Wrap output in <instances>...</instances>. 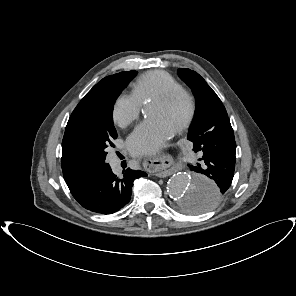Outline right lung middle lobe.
Instances as JSON below:
<instances>
[{
	"instance_id": "obj_1",
	"label": "right lung middle lobe",
	"mask_w": 296,
	"mask_h": 296,
	"mask_svg": "<svg viewBox=\"0 0 296 296\" xmlns=\"http://www.w3.org/2000/svg\"><path fill=\"white\" fill-rule=\"evenodd\" d=\"M136 71L121 72L102 79L77 105V124L64 134L62 167L86 174L105 163L106 148L117 138L112 111L117 97Z\"/></svg>"
}]
</instances>
